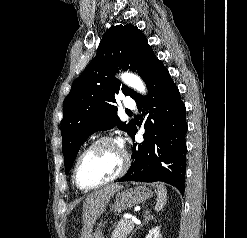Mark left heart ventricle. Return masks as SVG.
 <instances>
[{
    "label": "left heart ventricle",
    "instance_id": "left-heart-ventricle-1",
    "mask_svg": "<svg viewBox=\"0 0 247 238\" xmlns=\"http://www.w3.org/2000/svg\"><path fill=\"white\" fill-rule=\"evenodd\" d=\"M123 162L120 148L104 143L87 154L80 163L78 178L82 185L92 186L114 176Z\"/></svg>",
    "mask_w": 247,
    "mask_h": 238
}]
</instances>
